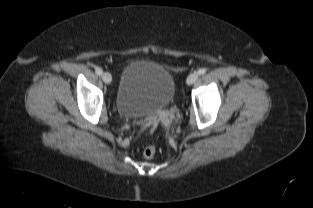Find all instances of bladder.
<instances>
[{
	"label": "bladder",
	"instance_id": "obj_1",
	"mask_svg": "<svg viewBox=\"0 0 313 208\" xmlns=\"http://www.w3.org/2000/svg\"><path fill=\"white\" fill-rule=\"evenodd\" d=\"M175 90V80L164 67L133 61L122 71L115 107L129 118L157 115L172 102Z\"/></svg>",
	"mask_w": 313,
	"mask_h": 208
}]
</instances>
